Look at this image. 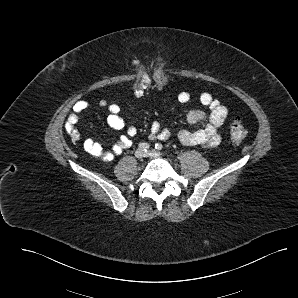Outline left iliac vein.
<instances>
[{
  "instance_id": "left-iliac-vein-1",
  "label": "left iliac vein",
  "mask_w": 298,
  "mask_h": 298,
  "mask_svg": "<svg viewBox=\"0 0 298 298\" xmlns=\"http://www.w3.org/2000/svg\"><path fill=\"white\" fill-rule=\"evenodd\" d=\"M145 155L148 157H152V158H158L161 156V153L156 150H151V151L147 152Z\"/></svg>"
}]
</instances>
